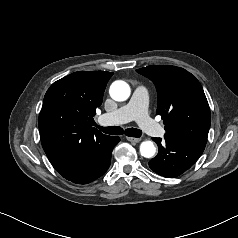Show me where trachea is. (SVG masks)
<instances>
[{
	"label": "trachea",
	"instance_id": "trachea-1",
	"mask_svg": "<svg viewBox=\"0 0 238 238\" xmlns=\"http://www.w3.org/2000/svg\"><path fill=\"white\" fill-rule=\"evenodd\" d=\"M102 132L110 135H125L129 137H140L142 135V131L136 128H128L125 131L119 126H109V127H101L97 126Z\"/></svg>",
	"mask_w": 238,
	"mask_h": 238
}]
</instances>
